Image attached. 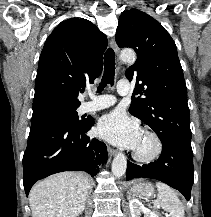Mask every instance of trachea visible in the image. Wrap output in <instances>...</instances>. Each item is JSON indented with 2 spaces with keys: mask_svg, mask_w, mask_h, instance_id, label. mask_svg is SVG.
I'll list each match as a JSON object with an SVG mask.
<instances>
[{
  "mask_svg": "<svg viewBox=\"0 0 211 217\" xmlns=\"http://www.w3.org/2000/svg\"><path fill=\"white\" fill-rule=\"evenodd\" d=\"M115 75V54L112 48H108L104 55V74L101 83L97 88V92H101L107 84L113 86Z\"/></svg>",
  "mask_w": 211,
  "mask_h": 217,
  "instance_id": "trachea-1",
  "label": "trachea"
}]
</instances>
